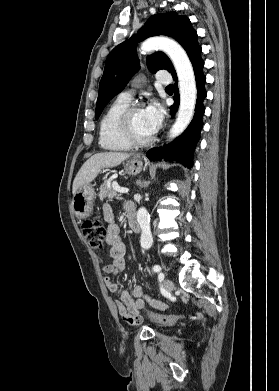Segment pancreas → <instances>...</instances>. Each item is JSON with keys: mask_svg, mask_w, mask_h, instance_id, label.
<instances>
[{"mask_svg": "<svg viewBox=\"0 0 279 391\" xmlns=\"http://www.w3.org/2000/svg\"><path fill=\"white\" fill-rule=\"evenodd\" d=\"M109 181H105L101 186H100V192L98 194L100 200H103V199H113L114 197L116 198H119V194L114 191L113 189H111L109 187Z\"/></svg>", "mask_w": 279, "mask_h": 391, "instance_id": "cf45deb5", "label": "pancreas"}]
</instances>
